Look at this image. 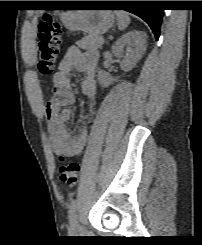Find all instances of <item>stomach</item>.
Here are the masks:
<instances>
[{
  "label": "stomach",
  "mask_w": 202,
  "mask_h": 245,
  "mask_svg": "<svg viewBox=\"0 0 202 245\" xmlns=\"http://www.w3.org/2000/svg\"><path fill=\"white\" fill-rule=\"evenodd\" d=\"M61 21L70 31L81 30L89 35L100 36L113 26L115 16L109 10L71 11L63 13Z\"/></svg>",
  "instance_id": "1"
}]
</instances>
